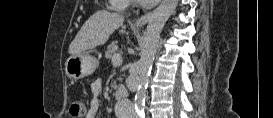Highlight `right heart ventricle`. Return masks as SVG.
Segmentation results:
<instances>
[{
  "mask_svg": "<svg viewBox=\"0 0 273 118\" xmlns=\"http://www.w3.org/2000/svg\"><path fill=\"white\" fill-rule=\"evenodd\" d=\"M111 3H112V7H113L115 10L120 11V10H123V9H124L125 3H126V2L113 0V1H111Z\"/></svg>",
  "mask_w": 273,
  "mask_h": 118,
  "instance_id": "e07e8e85",
  "label": "right heart ventricle"
}]
</instances>
